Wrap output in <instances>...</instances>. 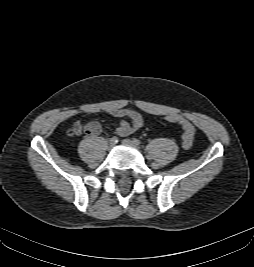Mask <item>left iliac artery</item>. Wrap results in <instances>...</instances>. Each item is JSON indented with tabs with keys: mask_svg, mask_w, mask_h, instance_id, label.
<instances>
[{
	"mask_svg": "<svg viewBox=\"0 0 254 267\" xmlns=\"http://www.w3.org/2000/svg\"><path fill=\"white\" fill-rule=\"evenodd\" d=\"M133 142H134V144H135L136 146H139V145L141 144L140 140H138V139H136V138L133 139Z\"/></svg>",
	"mask_w": 254,
	"mask_h": 267,
	"instance_id": "1",
	"label": "left iliac artery"
}]
</instances>
